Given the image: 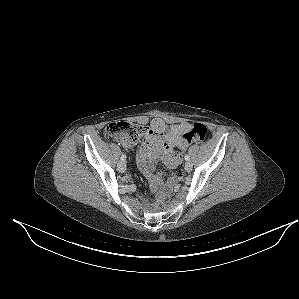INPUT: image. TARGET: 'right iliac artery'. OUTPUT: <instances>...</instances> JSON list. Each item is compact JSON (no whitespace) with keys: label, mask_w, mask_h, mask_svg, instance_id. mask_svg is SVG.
<instances>
[{"label":"right iliac artery","mask_w":299,"mask_h":299,"mask_svg":"<svg viewBox=\"0 0 299 299\" xmlns=\"http://www.w3.org/2000/svg\"><path fill=\"white\" fill-rule=\"evenodd\" d=\"M126 160V155L125 154H122L121 156V161H125Z\"/></svg>","instance_id":"82829eb1"}]
</instances>
